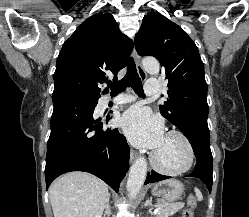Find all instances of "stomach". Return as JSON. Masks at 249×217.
I'll return each instance as SVG.
<instances>
[{
  "instance_id": "obj_1",
  "label": "stomach",
  "mask_w": 249,
  "mask_h": 217,
  "mask_svg": "<svg viewBox=\"0 0 249 217\" xmlns=\"http://www.w3.org/2000/svg\"><path fill=\"white\" fill-rule=\"evenodd\" d=\"M151 192L153 196L161 197L164 201L171 203L182 196L184 186L179 180L171 178L154 184Z\"/></svg>"
}]
</instances>
